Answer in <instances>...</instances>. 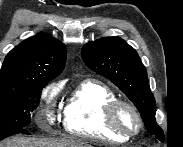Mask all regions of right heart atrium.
Here are the masks:
<instances>
[{
  "instance_id": "right-heart-atrium-1",
  "label": "right heart atrium",
  "mask_w": 183,
  "mask_h": 147,
  "mask_svg": "<svg viewBox=\"0 0 183 147\" xmlns=\"http://www.w3.org/2000/svg\"><path fill=\"white\" fill-rule=\"evenodd\" d=\"M60 92L58 84H50L46 86L41 93L42 105L38 110V117L42 121L54 124L60 117L61 107L57 104V97Z\"/></svg>"
}]
</instances>
